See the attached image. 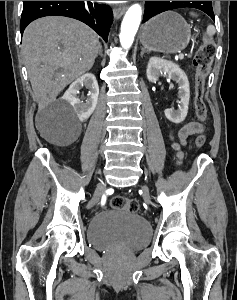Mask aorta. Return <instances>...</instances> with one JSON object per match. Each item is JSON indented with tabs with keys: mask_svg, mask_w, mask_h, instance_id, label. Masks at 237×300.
I'll return each mask as SVG.
<instances>
[{
	"mask_svg": "<svg viewBox=\"0 0 237 300\" xmlns=\"http://www.w3.org/2000/svg\"><path fill=\"white\" fill-rule=\"evenodd\" d=\"M141 17L142 7H140V5H132V7L128 9L121 23V33L119 35L121 47H123V49H130L141 23Z\"/></svg>",
	"mask_w": 237,
	"mask_h": 300,
	"instance_id": "1",
	"label": "aorta"
}]
</instances>
